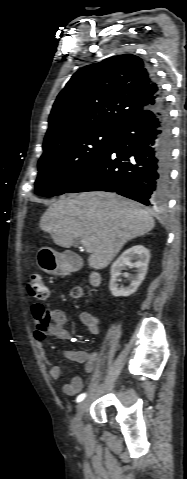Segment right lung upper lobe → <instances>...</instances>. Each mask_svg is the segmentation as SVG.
Listing matches in <instances>:
<instances>
[{
  "label": "right lung upper lobe",
  "instance_id": "obj_1",
  "mask_svg": "<svg viewBox=\"0 0 187 479\" xmlns=\"http://www.w3.org/2000/svg\"><path fill=\"white\" fill-rule=\"evenodd\" d=\"M161 98L147 65L124 54L78 70L58 95L44 145L90 128L120 129Z\"/></svg>",
  "mask_w": 187,
  "mask_h": 479
}]
</instances>
